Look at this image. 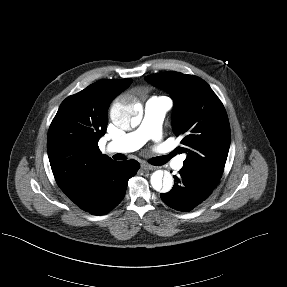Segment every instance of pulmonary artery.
Returning a JSON list of instances; mask_svg holds the SVG:
<instances>
[{
	"label": "pulmonary artery",
	"mask_w": 287,
	"mask_h": 287,
	"mask_svg": "<svg viewBox=\"0 0 287 287\" xmlns=\"http://www.w3.org/2000/svg\"><path fill=\"white\" fill-rule=\"evenodd\" d=\"M171 105V100L165 96H153L148 99L139 127L111 141L107 145V151L131 152L141 148L149 140H160L162 122ZM184 159L185 156L177 158L174 167L180 169Z\"/></svg>",
	"instance_id": "e3ab8cb5"
}]
</instances>
